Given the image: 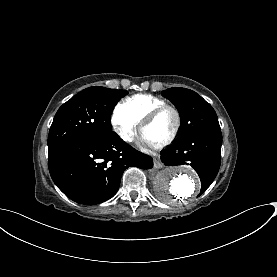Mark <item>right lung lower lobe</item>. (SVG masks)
Returning a JSON list of instances; mask_svg holds the SVG:
<instances>
[{
  "label": "right lung lower lobe",
  "instance_id": "98d812e1",
  "mask_svg": "<svg viewBox=\"0 0 277 277\" xmlns=\"http://www.w3.org/2000/svg\"><path fill=\"white\" fill-rule=\"evenodd\" d=\"M130 166L150 169L153 161L117 134L48 149V167L54 183L80 204L94 205L113 197L123 172Z\"/></svg>",
  "mask_w": 277,
  "mask_h": 277
}]
</instances>
